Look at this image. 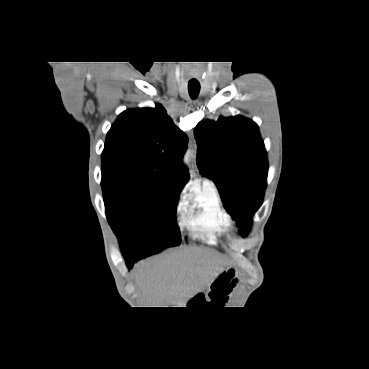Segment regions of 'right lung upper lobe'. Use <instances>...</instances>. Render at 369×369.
Here are the masks:
<instances>
[{
    "label": "right lung upper lobe",
    "mask_w": 369,
    "mask_h": 369,
    "mask_svg": "<svg viewBox=\"0 0 369 369\" xmlns=\"http://www.w3.org/2000/svg\"><path fill=\"white\" fill-rule=\"evenodd\" d=\"M188 138L160 104L127 109L108 131L101 155L102 173L135 176L144 184L177 195L188 181L182 156Z\"/></svg>",
    "instance_id": "right-lung-upper-lobe-1"
}]
</instances>
